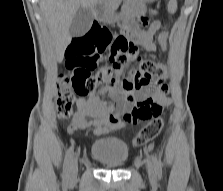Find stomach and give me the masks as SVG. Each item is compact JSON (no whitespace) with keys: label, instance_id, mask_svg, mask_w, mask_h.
I'll return each instance as SVG.
<instances>
[{"label":"stomach","instance_id":"0dacf381","mask_svg":"<svg viewBox=\"0 0 223 191\" xmlns=\"http://www.w3.org/2000/svg\"><path fill=\"white\" fill-rule=\"evenodd\" d=\"M101 19L109 23L112 22L125 23L124 13L116 14L114 12H103L101 15Z\"/></svg>","mask_w":223,"mask_h":191}]
</instances>
